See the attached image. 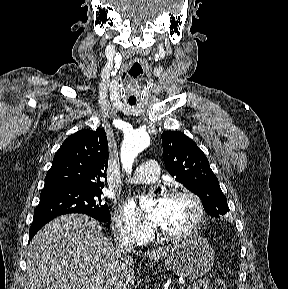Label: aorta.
I'll list each match as a JSON object with an SVG mask.
<instances>
[{"instance_id": "aorta-1", "label": "aorta", "mask_w": 288, "mask_h": 289, "mask_svg": "<svg viewBox=\"0 0 288 289\" xmlns=\"http://www.w3.org/2000/svg\"><path fill=\"white\" fill-rule=\"evenodd\" d=\"M149 142L150 138L144 132L136 131L125 138L121 147V162L127 173H131L134 159L149 145ZM140 207L143 210L149 211L152 208V202L141 199Z\"/></svg>"}]
</instances>
